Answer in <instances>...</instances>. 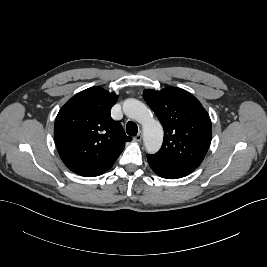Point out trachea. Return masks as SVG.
<instances>
[{"mask_svg": "<svg viewBox=\"0 0 267 267\" xmlns=\"http://www.w3.org/2000/svg\"><path fill=\"white\" fill-rule=\"evenodd\" d=\"M126 132L130 136L137 135V133H138V127H137V125L134 122L129 121L127 123V125H126Z\"/></svg>", "mask_w": 267, "mask_h": 267, "instance_id": "trachea-1", "label": "trachea"}]
</instances>
